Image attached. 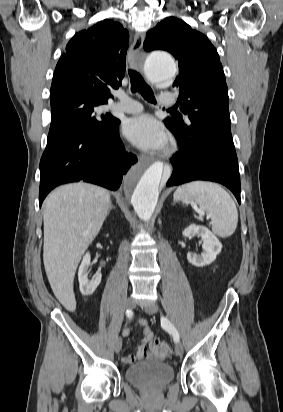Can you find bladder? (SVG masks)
Segmentation results:
<instances>
[{
    "mask_svg": "<svg viewBox=\"0 0 283 412\" xmlns=\"http://www.w3.org/2000/svg\"><path fill=\"white\" fill-rule=\"evenodd\" d=\"M173 367L166 362H142L125 370L126 380L139 388L160 389L174 380Z\"/></svg>",
    "mask_w": 283,
    "mask_h": 412,
    "instance_id": "31cf9c89",
    "label": "bladder"
}]
</instances>
